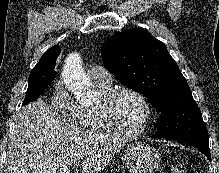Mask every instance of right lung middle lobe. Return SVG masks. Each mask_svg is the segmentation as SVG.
Returning a JSON list of instances; mask_svg holds the SVG:
<instances>
[{
	"label": "right lung middle lobe",
	"instance_id": "dd1d6c3e",
	"mask_svg": "<svg viewBox=\"0 0 219 173\" xmlns=\"http://www.w3.org/2000/svg\"><path fill=\"white\" fill-rule=\"evenodd\" d=\"M54 74L45 73L43 70H38L33 72L31 70L29 75V85L27 89V94L23 105L30 103L31 101H35L40 95L44 93L46 87L55 79Z\"/></svg>",
	"mask_w": 219,
	"mask_h": 173
}]
</instances>
